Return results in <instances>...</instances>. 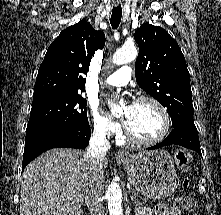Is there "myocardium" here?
I'll return each instance as SVG.
<instances>
[{
  "label": "myocardium",
  "instance_id": "myocardium-1",
  "mask_svg": "<svg viewBox=\"0 0 221 215\" xmlns=\"http://www.w3.org/2000/svg\"><path fill=\"white\" fill-rule=\"evenodd\" d=\"M145 101L152 103L159 110L161 114L163 126H162V130L160 134L152 139H142L132 134L125 124L123 127V132H124L125 138L134 144L143 145V146H152V145H156L162 142L167 137L170 131V127H171V118H170L167 108L158 99H156L155 97L151 95L139 96L135 100V103H141Z\"/></svg>",
  "mask_w": 221,
  "mask_h": 215
}]
</instances>
